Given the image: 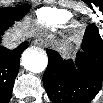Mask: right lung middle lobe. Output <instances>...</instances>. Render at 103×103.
Here are the masks:
<instances>
[{"mask_svg":"<svg viewBox=\"0 0 103 103\" xmlns=\"http://www.w3.org/2000/svg\"><path fill=\"white\" fill-rule=\"evenodd\" d=\"M29 10L28 4L12 8H0V22L21 20Z\"/></svg>","mask_w":103,"mask_h":103,"instance_id":"right-lung-middle-lobe-1","label":"right lung middle lobe"}]
</instances>
